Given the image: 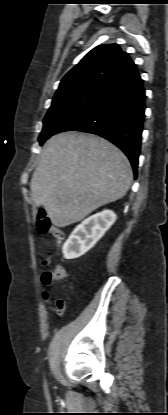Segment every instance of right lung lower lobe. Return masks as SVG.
<instances>
[{"instance_id":"98d812e1","label":"right lung lower lobe","mask_w":168,"mask_h":415,"mask_svg":"<svg viewBox=\"0 0 168 415\" xmlns=\"http://www.w3.org/2000/svg\"><path fill=\"white\" fill-rule=\"evenodd\" d=\"M145 98L143 81L135 68L103 90L55 134L80 131L109 140L125 153L136 176L145 117Z\"/></svg>"}]
</instances>
